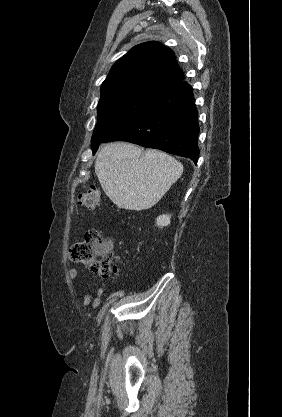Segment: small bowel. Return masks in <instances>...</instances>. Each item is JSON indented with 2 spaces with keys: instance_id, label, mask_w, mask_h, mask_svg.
<instances>
[{
  "instance_id": "obj_1",
  "label": "small bowel",
  "mask_w": 282,
  "mask_h": 417,
  "mask_svg": "<svg viewBox=\"0 0 282 417\" xmlns=\"http://www.w3.org/2000/svg\"><path fill=\"white\" fill-rule=\"evenodd\" d=\"M109 247L113 245V242L110 241ZM69 278L71 280H76L80 277L81 271L78 268H71L68 272ZM105 286L101 285L96 291V295L93 297L90 293L85 294L81 300L80 303L82 306H89L91 305L93 309L97 308L101 303V297L104 293Z\"/></svg>"
}]
</instances>
